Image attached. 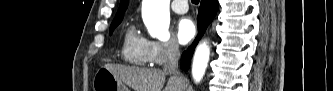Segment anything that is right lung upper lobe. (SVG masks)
<instances>
[{"label": "right lung upper lobe", "mask_w": 333, "mask_h": 91, "mask_svg": "<svg viewBox=\"0 0 333 91\" xmlns=\"http://www.w3.org/2000/svg\"><path fill=\"white\" fill-rule=\"evenodd\" d=\"M128 0H121L118 12L114 19L123 18L124 12L127 9Z\"/></svg>", "instance_id": "obj_1"}]
</instances>
